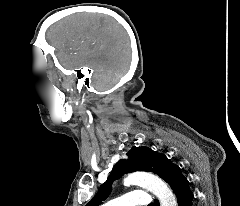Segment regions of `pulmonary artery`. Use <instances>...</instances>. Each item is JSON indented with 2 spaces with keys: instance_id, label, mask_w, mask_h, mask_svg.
I'll return each mask as SVG.
<instances>
[{
  "instance_id": "obj_1",
  "label": "pulmonary artery",
  "mask_w": 240,
  "mask_h": 206,
  "mask_svg": "<svg viewBox=\"0 0 240 206\" xmlns=\"http://www.w3.org/2000/svg\"><path fill=\"white\" fill-rule=\"evenodd\" d=\"M152 201L151 196L142 190L128 192L118 198L108 201L102 206H147Z\"/></svg>"
}]
</instances>
